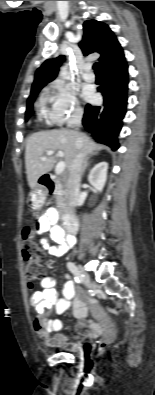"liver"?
<instances>
[{"label":"liver","instance_id":"1","mask_svg":"<svg viewBox=\"0 0 155 395\" xmlns=\"http://www.w3.org/2000/svg\"><path fill=\"white\" fill-rule=\"evenodd\" d=\"M89 136L74 130H52L32 134L26 143L25 165L29 187L34 189L41 176L50 172L55 164V156L47 155L49 150L64 153L68 170L79 149L84 157L101 149ZM45 157V160L42 158Z\"/></svg>","mask_w":155,"mask_h":395}]
</instances>
